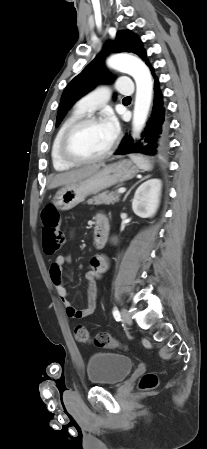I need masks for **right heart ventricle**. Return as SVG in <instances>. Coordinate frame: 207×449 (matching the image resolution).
I'll use <instances>...</instances> for the list:
<instances>
[{
    "instance_id": "1",
    "label": "right heart ventricle",
    "mask_w": 207,
    "mask_h": 449,
    "mask_svg": "<svg viewBox=\"0 0 207 449\" xmlns=\"http://www.w3.org/2000/svg\"><path fill=\"white\" fill-rule=\"evenodd\" d=\"M85 112L79 110L76 108L61 124L59 127L57 133L54 136L52 146H51V159L54 169L58 171H64L71 168L73 165L66 163L60 156L59 153V143L61 140V137L65 131V129L76 119L82 117Z\"/></svg>"
}]
</instances>
